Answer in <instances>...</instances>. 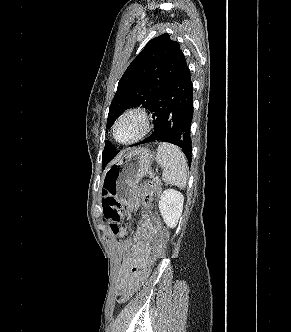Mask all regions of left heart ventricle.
Instances as JSON below:
<instances>
[{
  "label": "left heart ventricle",
  "instance_id": "1",
  "mask_svg": "<svg viewBox=\"0 0 291 332\" xmlns=\"http://www.w3.org/2000/svg\"><path fill=\"white\" fill-rule=\"evenodd\" d=\"M141 120L136 116H128L122 120L117 128V138L127 141L134 138L141 130Z\"/></svg>",
  "mask_w": 291,
  "mask_h": 332
}]
</instances>
